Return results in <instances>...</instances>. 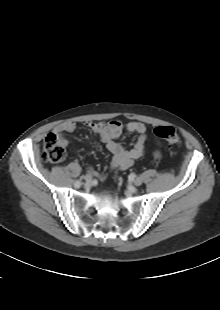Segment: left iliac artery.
<instances>
[{
    "mask_svg": "<svg viewBox=\"0 0 220 310\" xmlns=\"http://www.w3.org/2000/svg\"><path fill=\"white\" fill-rule=\"evenodd\" d=\"M136 177V174L135 173H131L129 176H128V179L130 182H132L134 180V178Z\"/></svg>",
    "mask_w": 220,
    "mask_h": 310,
    "instance_id": "1",
    "label": "left iliac artery"
}]
</instances>
